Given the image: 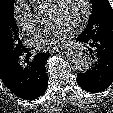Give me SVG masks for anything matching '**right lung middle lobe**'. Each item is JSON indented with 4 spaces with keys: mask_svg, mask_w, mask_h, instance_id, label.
<instances>
[{
    "mask_svg": "<svg viewBox=\"0 0 113 113\" xmlns=\"http://www.w3.org/2000/svg\"><path fill=\"white\" fill-rule=\"evenodd\" d=\"M13 4L14 0H0V70L25 49L19 38Z\"/></svg>",
    "mask_w": 113,
    "mask_h": 113,
    "instance_id": "obj_1",
    "label": "right lung middle lobe"
}]
</instances>
